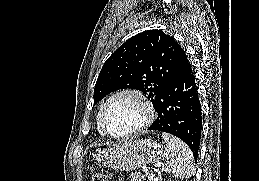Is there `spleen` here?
Here are the masks:
<instances>
[{"label":"spleen","mask_w":259,"mask_h":181,"mask_svg":"<svg viewBox=\"0 0 259 181\" xmlns=\"http://www.w3.org/2000/svg\"><path fill=\"white\" fill-rule=\"evenodd\" d=\"M162 138L166 143V164L162 171L172 173L177 178H189L194 170V158L190 148L182 140L166 132L162 133Z\"/></svg>","instance_id":"3e777b00"}]
</instances>
